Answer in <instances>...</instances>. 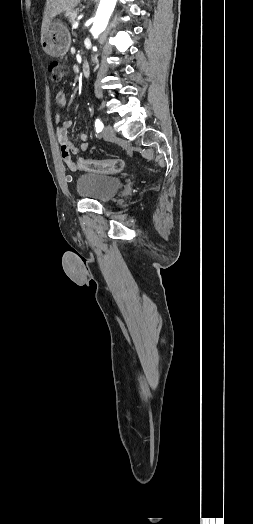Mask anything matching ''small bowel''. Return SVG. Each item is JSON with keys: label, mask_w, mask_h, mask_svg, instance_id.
Instances as JSON below:
<instances>
[{"label": "small bowel", "mask_w": 253, "mask_h": 524, "mask_svg": "<svg viewBox=\"0 0 253 524\" xmlns=\"http://www.w3.org/2000/svg\"><path fill=\"white\" fill-rule=\"evenodd\" d=\"M56 102L59 106L64 107L67 104V97L64 92L59 91L56 94ZM56 122L61 121V114L57 113L55 116ZM71 120L63 121L62 125L58 127L56 131L57 139L60 145L61 157L63 161L71 170H76L77 166L72 159V156L77 154L80 150L87 151L88 149V135L85 131H82L79 135L80 146H76L68 138V130L71 127Z\"/></svg>", "instance_id": "obj_1"}]
</instances>
